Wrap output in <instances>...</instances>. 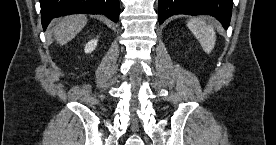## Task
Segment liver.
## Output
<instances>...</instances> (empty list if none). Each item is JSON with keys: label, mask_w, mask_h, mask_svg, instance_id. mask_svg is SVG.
Masks as SVG:
<instances>
[{"label": "liver", "mask_w": 276, "mask_h": 145, "mask_svg": "<svg viewBox=\"0 0 276 145\" xmlns=\"http://www.w3.org/2000/svg\"><path fill=\"white\" fill-rule=\"evenodd\" d=\"M85 15H70L64 17L55 27L54 36L60 45L71 41L86 25Z\"/></svg>", "instance_id": "6515ba94"}]
</instances>
